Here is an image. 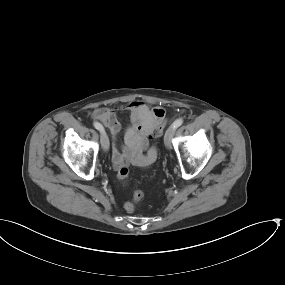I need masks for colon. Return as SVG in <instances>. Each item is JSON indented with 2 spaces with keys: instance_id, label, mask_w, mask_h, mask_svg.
I'll use <instances>...</instances> for the list:
<instances>
[{
  "instance_id": "1",
  "label": "colon",
  "mask_w": 285,
  "mask_h": 285,
  "mask_svg": "<svg viewBox=\"0 0 285 285\" xmlns=\"http://www.w3.org/2000/svg\"><path fill=\"white\" fill-rule=\"evenodd\" d=\"M163 128H164V122L158 123L156 128L154 129V131L151 134V138L156 139V138L160 137L162 132H163ZM128 177H129L128 167H121L118 169L117 178L119 181L125 183V182H127ZM142 198H143L142 192L140 190H135L133 192L132 200L127 201L125 203V205H124L125 210L128 212H134L136 210V203L141 201Z\"/></svg>"
}]
</instances>
